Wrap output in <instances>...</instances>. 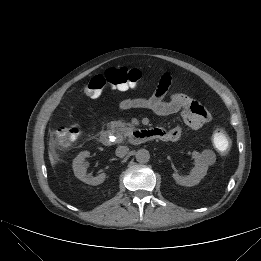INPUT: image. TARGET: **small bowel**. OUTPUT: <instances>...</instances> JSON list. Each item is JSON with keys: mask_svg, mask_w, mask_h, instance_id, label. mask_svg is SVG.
<instances>
[{"mask_svg": "<svg viewBox=\"0 0 261 261\" xmlns=\"http://www.w3.org/2000/svg\"><path fill=\"white\" fill-rule=\"evenodd\" d=\"M171 81V75L164 73L151 96L123 99L118 103V110L148 109L161 117L179 113L184 123L192 129H200L208 125L211 121L210 113L199 102L186 94L176 92L170 96L168 101H164ZM135 87L136 85H123L112 88L117 91H127ZM156 129L159 133L158 139L162 141H177L182 135V129L179 126L171 129Z\"/></svg>", "mask_w": 261, "mask_h": 261, "instance_id": "c3829d8e", "label": "small bowel"}]
</instances>
